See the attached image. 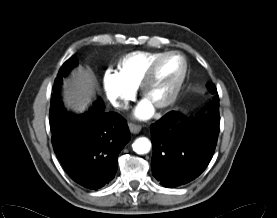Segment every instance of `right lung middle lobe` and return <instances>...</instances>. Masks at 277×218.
I'll use <instances>...</instances> for the list:
<instances>
[{"label": "right lung middle lobe", "mask_w": 277, "mask_h": 218, "mask_svg": "<svg viewBox=\"0 0 277 218\" xmlns=\"http://www.w3.org/2000/svg\"><path fill=\"white\" fill-rule=\"evenodd\" d=\"M78 64L75 58L67 60L60 68L57 77L63 78L67 76L69 71ZM61 101H51L50 108V128L52 132H55L69 117V113L61 106Z\"/></svg>", "instance_id": "right-lung-middle-lobe-1"}]
</instances>
